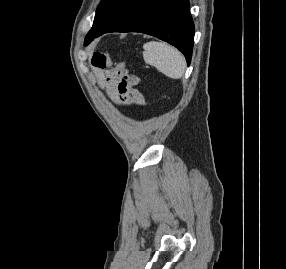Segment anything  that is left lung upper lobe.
I'll list each match as a JSON object with an SVG mask.
<instances>
[{
    "label": "left lung upper lobe",
    "mask_w": 286,
    "mask_h": 269,
    "mask_svg": "<svg viewBox=\"0 0 286 269\" xmlns=\"http://www.w3.org/2000/svg\"><path fill=\"white\" fill-rule=\"evenodd\" d=\"M143 0H101L97 7L93 26L85 38L88 45L101 30L110 27L137 7Z\"/></svg>",
    "instance_id": "5c2ea615"
}]
</instances>
